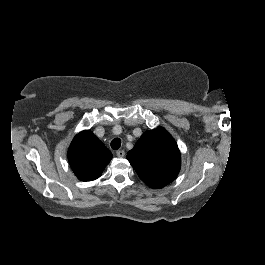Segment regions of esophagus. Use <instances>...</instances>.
Masks as SVG:
<instances>
[{
	"instance_id": "1",
	"label": "esophagus",
	"mask_w": 265,
	"mask_h": 265,
	"mask_svg": "<svg viewBox=\"0 0 265 265\" xmlns=\"http://www.w3.org/2000/svg\"><path fill=\"white\" fill-rule=\"evenodd\" d=\"M116 154H117V156H118L119 158H123L124 155H125V152H124V150H118V151L116 152Z\"/></svg>"
}]
</instances>
